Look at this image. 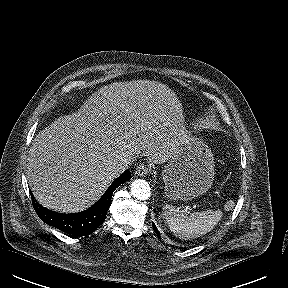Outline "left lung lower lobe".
<instances>
[{
  "mask_svg": "<svg viewBox=\"0 0 288 288\" xmlns=\"http://www.w3.org/2000/svg\"><path fill=\"white\" fill-rule=\"evenodd\" d=\"M153 225V229H154V231L156 232V234L159 236V232L157 231V228L155 227V225L154 224H152Z\"/></svg>",
  "mask_w": 288,
  "mask_h": 288,
  "instance_id": "obj_1",
  "label": "left lung lower lobe"
}]
</instances>
